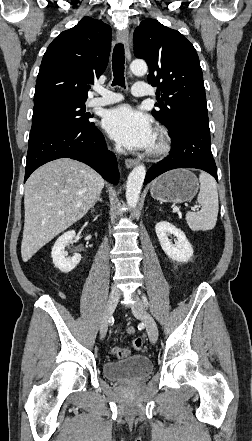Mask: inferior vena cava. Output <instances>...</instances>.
Segmentation results:
<instances>
[{
  "instance_id": "obj_1",
  "label": "inferior vena cava",
  "mask_w": 252,
  "mask_h": 441,
  "mask_svg": "<svg viewBox=\"0 0 252 441\" xmlns=\"http://www.w3.org/2000/svg\"><path fill=\"white\" fill-rule=\"evenodd\" d=\"M117 151H118V150H117ZM113 290H114L115 292H119L118 289H117L116 287H114Z\"/></svg>"
}]
</instances>
